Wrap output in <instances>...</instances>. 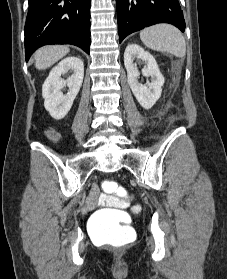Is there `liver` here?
<instances>
[{"label":"liver","instance_id":"6515ba94","mask_svg":"<svg viewBox=\"0 0 227 279\" xmlns=\"http://www.w3.org/2000/svg\"><path fill=\"white\" fill-rule=\"evenodd\" d=\"M69 52V48L64 45L45 46L35 53V67L44 70L59 61Z\"/></svg>","mask_w":227,"mask_h":279}]
</instances>
